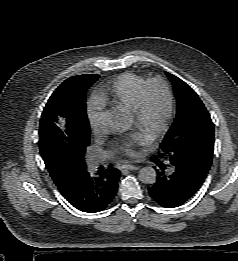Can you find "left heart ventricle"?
<instances>
[{
    "label": "left heart ventricle",
    "mask_w": 238,
    "mask_h": 261,
    "mask_svg": "<svg viewBox=\"0 0 238 261\" xmlns=\"http://www.w3.org/2000/svg\"><path fill=\"white\" fill-rule=\"evenodd\" d=\"M167 108L166 95L160 85L150 88L146 99V112L143 122L139 126L140 130L152 134L160 125ZM134 123V119L132 117Z\"/></svg>",
    "instance_id": "obj_1"
}]
</instances>
